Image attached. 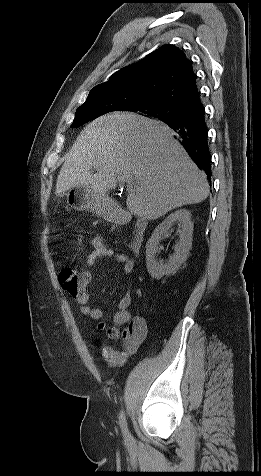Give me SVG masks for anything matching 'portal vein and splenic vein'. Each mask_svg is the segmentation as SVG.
Instances as JSON below:
<instances>
[{"instance_id": "18ae733b", "label": "portal vein and splenic vein", "mask_w": 261, "mask_h": 476, "mask_svg": "<svg viewBox=\"0 0 261 476\" xmlns=\"http://www.w3.org/2000/svg\"><path fill=\"white\" fill-rule=\"evenodd\" d=\"M120 179H121L123 182H126V183L128 184V186H129V188L132 186V181H131L128 177L123 176V177H121Z\"/></svg>"}]
</instances>
